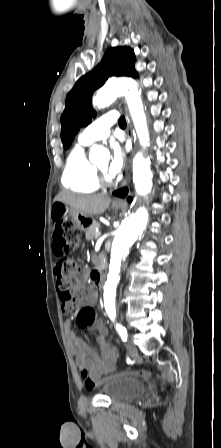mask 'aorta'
<instances>
[{"label": "aorta", "instance_id": "obj_1", "mask_svg": "<svg viewBox=\"0 0 221 448\" xmlns=\"http://www.w3.org/2000/svg\"><path fill=\"white\" fill-rule=\"evenodd\" d=\"M125 95L127 105L133 120V124L142 146L149 142L146 116L137 83L131 79H118L108 82L93 98V105L97 108L109 106L117 97ZM107 155L105 148L93 145L90 149L89 159L95 162L99 156ZM151 162L144 159L141 152L133 159V182L137 194L147 195L152 189ZM148 212L146 208L140 207L134 213L126 217L115 232L111 245L108 282L111 286L119 279L122 263L129 254L135 239L146 228Z\"/></svg>", "mask_w": 221, "mask_h": 448}]
</instances>
